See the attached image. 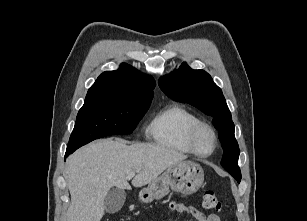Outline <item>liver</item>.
Segmentation results:
<instances>
[{
	"mask_svg": "<svg viewBox=\"0 0 307 221\" xmlns=\"http://www.w3.org/2000/svg\"><path fill=\"white\" fill-rule=\"evenodd\" d=\"M187 156L157 144L127 145L123 140H98L73 153L66 162L71 203L67 221H100L104 199L112 187H142Z\"/></svg>",
	"mask_w": 307,
	"mask_h": 221,
	"instance_id": "liver-1",
	"label": "liver"
}]
</instances>
